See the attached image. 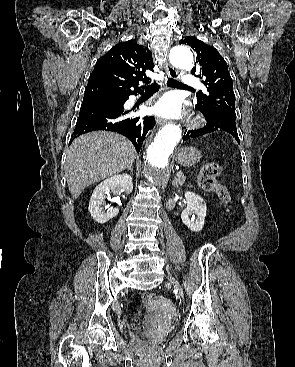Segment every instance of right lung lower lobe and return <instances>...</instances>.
<instances>
[{
    "mask_svg": "<svg viewBox=\"0 0 295 367\" xmlns=\"http://www.w3.org/2000/svg\"><path fill=\"white\" fill-rule=\"evenodd\" d=\"M128 97L83 100L70 143L82 134L107 130L126 136L139 152L146 133L155 125V119L152 116H129L130 111H124L123 107Z\"/></svg>",
    "mask_w": 295,
    "mask_h": 367,
    "instance_id": "obj_1",
    "label": "right lung lower lobe"
}]
</instances>
